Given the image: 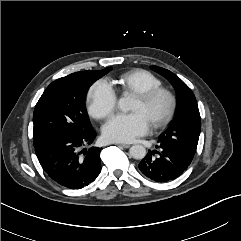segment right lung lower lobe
<instances>
[{
    "instance_id": "right-lung-lower-lobe-1",
    "label": "right lung lower lobe",
    "mask_w": 241,
    "mask_h": 241,
    "mask_svg": "<svg viewBox=\"0 0 241 241\" xmlns=\"http://www.w3.org/2000/svg\"><path fill=\"white\" fill-rule=\"evenodd\" d=\"M93 129L81 135H64L35 148L44 171L58 184L81 189L93 182L101 171L100 148L84 146L93 142Z\"/></svg>"
}]
</instances>
